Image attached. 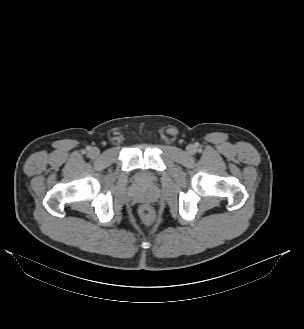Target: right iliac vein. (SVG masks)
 Here are the masks:
<instances>
[{"label": "right iliac vein", "instance_id": "1", "mask_svg": "<svg viewBox=\"0 0 304 329\" xmlns=\"http://www.w3.org/2000/svg\"><path fill=\"white\" fill-rule=\"evenodd\" d=\"M99 149L97 147H93L90 149V155L92 157H97L99 155Z\"/></svg>", "mask_w": 304, "mask_h": 329}]
</instances>
